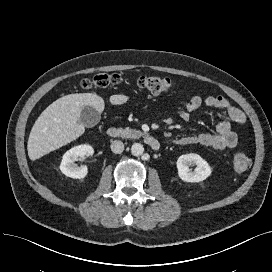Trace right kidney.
I'll list each match as a JSON object with an SVG mask.
<instances>
[{
    "label": "right kidney",
    "instance_id": "ca27d5eb",
    "mask_svg": "<svg viewBox=\"0 0 272 272\" xmlns=\"http://www.w3.org/2000/svg\"><path fill=\"white\" fill-rule=\"evenodd\" d=\"M94 150L90 145H78L70 150H68L62 158L60 164V170L67 177L74 179H82L86 177L88 169L86 166H77L74 162L78 160L79 157L91 156Z\"/></svg>",
    "mask_w": 272,
    "mask_h": 272
}]
</instances>
